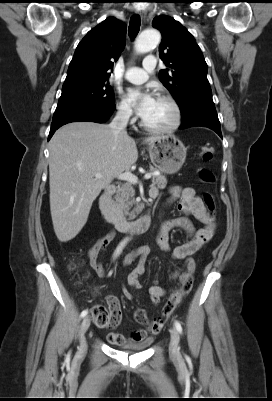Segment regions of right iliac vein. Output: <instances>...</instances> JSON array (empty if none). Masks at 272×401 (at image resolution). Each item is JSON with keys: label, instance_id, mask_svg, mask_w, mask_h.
Here are the masks:
<instances>
[{"label": "right iliac vein", "instance_id": "1", "mask_svg": "<svg viewBox=\"0 0 272 401\" xmlns=\"http://www.w3.org/2000/svg\"><path fill=\"white\" fill-rule=\"evenodd\" d=\"M90 317H85L82 321L81 324V329H80V353H84L86 351V341H85V333L88 330V328L90 327Z\"/></svg>", "mask_w": 272, "mask_h": 401}]
</instances>
